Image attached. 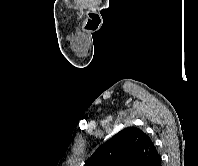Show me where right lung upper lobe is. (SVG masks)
<instances>
[{"instance_id": "right-lung-upper-lobe-1", "label": "right lung upper lobe", "mask_w": 198, "mask_h": 166, "mask_svg": "<svg viewBox=\"0 0 198 166\" xmlns=\"http://www.w3.org/2000/svg\"><path fill=\"white\" fill-rule=\"evenodd\" d=\"M158 156L142 130L128 127L98 147L84 166H150Z\"/></svg>"}]
</instances>
